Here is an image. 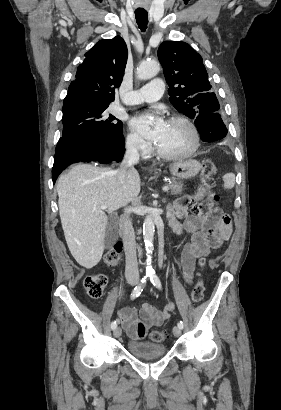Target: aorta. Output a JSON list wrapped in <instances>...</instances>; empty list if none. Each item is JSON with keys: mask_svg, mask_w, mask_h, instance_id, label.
I'll return each instance as SVG.
<instances>
[{"mask_svg": "<svg viewBox=\"0 0 281 410\" xmlns=\"http://www.w3.org/2000/svg\"><path fill=\"white\" fill-rule=\"evenodd\" d=\"M159 70H160V65L158 62L156 61L143 62L137 68L136 77L140 80L151 79L157 75ZM154 233H155V225H154L153 218L151 216H147L143 223V238H144L145 247H146L148 254H150L153 249ZM150 260H151V257L150 255H148V261ZM147 271L151 273L152 268L148 267Z\"/></svg>", "mask_w": 281, "mask_h": 410, "instance_id": "obj_1", "label": "aorta"}]
</instances>
